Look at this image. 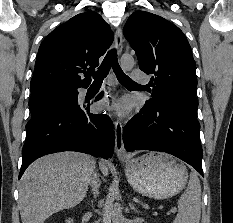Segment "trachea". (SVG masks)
Returning a JSON list of instances; mask_svg holds the SVG:
<instances>
[{
    "instance_id": "trachea-1",
    "label": "trachea",
    "mask_w": 233,
    "mask_h": 223,
    "mask_svg": "<svg viewBox=\"0 0 233 223\" xmlns=\"http://www.w3.org/2000/svg\"><path fill=\"white\" fill-rule=\"evenodd\" d=\"M111 67L113 68L120 83L128 85H139L127 75H125V73L122 71L118 63L117 52L114 49L108 52L101 66L99 67V70L94 73L93 83H102L103 79L107 76Z\"/></svg>"
}]
</instances>
